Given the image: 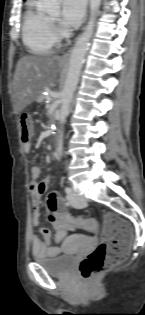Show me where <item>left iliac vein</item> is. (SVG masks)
<instances>
[{
    "instance_id": "1",
    "label": "left iliac vein",
    "mask_w": 145,
    "mask_h": 315,
    "mask_svg": "<svg viewBox=\"0 0 145 315\" xmlns=\"http://www.w3.org/2000/svg\"><path fill=\"white\" fill-rule=\"evenodd\" d=\"M68 201L75 208H84L87 205V199L83 196L77 195L75 192H71L67 195Z\"/></svg>"
}]
</instances>
